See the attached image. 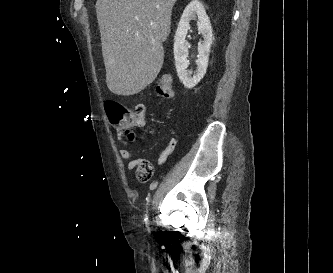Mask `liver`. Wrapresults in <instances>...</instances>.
<instances>
[{
	"label": "liver",
	"instance_id": "liver-1",
	"mask_svg": "<svg viewBox=\"0 0 333 273\" xmlns=\"http://www.w3.org/2000/svg\"><path fill=\"white\" fill-rule=\"evenodd\" d=\"M176 0H97L106 83L117 95H134L150 85L164 61Z\"/></svg>",
	"mask_w": 333,
	"mask_h": 273
}]
</instances>
